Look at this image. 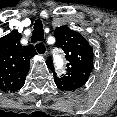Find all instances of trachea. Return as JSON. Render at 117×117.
Instances as JSON below:
<instances>
[{
  "mask_svg": "<svg viewBox=\"0 0 117 117\" xmlns=\"http://www.w3.org/2000/svg\"><path fill=\"white\" fill-rule=\"evenodd\" d=\"M44 39V31H43V25L41 21L37 20L34 24V30L32 32L31 36V42L36 43V42H41ZM40 44L36 45L37 50H39Z\"/></svg>",
  "mask_w": 117,
  "mask_h": 117,
  "instance_id": "1",
  "label": "trachea"
}]
</instances>
